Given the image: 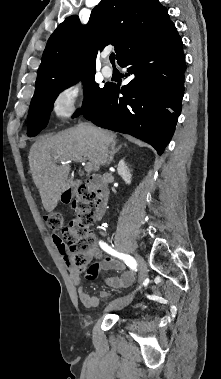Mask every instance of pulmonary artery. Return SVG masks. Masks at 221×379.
<instances>
[{
    "mask_svg": "<svg viewBox=\"0 0 221 379\" xmlns=\"http://www.w3.org/2000/svg\"><path fill=\"white\" fill-rule=\"evenodd\" d=\"M104 58H106V57H104ZM102 74H103L105 77H111L112 74H113V70H112V68L109 67V66H104V67L102 68Z\"/></svg>",
    "mask_w": 221,
    "mask_h": 379,
    "instance_id": "1",
    "label": "pulmonary artery"
}]
</instances>
